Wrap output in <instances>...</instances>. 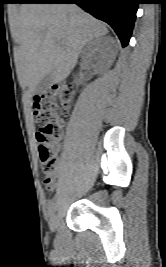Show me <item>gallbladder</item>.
I'll return each instance as SVG.
<instances>
[{
  "label": "gallbladder",
  "instance_id": "obj_1",
  "mask_svg": "<svg viewBox=\"0 0 166 267\" xmlns=\"http://www.w3.org/2000/svg\"><path fill=\"white\" fill-rule=\"evenodd\" d=\"M52 83H53L52 73H48V74L44 75V77L38 83L36 90H35V93L44 92L45 90L50 88Z\"/></svg>",
  "mask_w": 166,
  "mask_h": 267
}]
</instances>
